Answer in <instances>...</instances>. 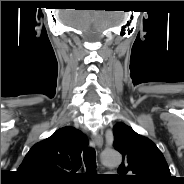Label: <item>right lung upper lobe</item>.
Here are the masks:
<instances>
[{
  "label": "right lung upper lobe",
  "mask_w": 184,
  "mask_h": 184,
  "mask_svg": "<svg viewBox=\"0 0 184 184\" xmlns=\"http://www.w3.org/2000/svg\"><path fill=\"white\" fill-rule=\"evenodd\" d=\"M87 144L80 130L63 127L35 144L17 171L30 182L69 183L81 167V153Z\"/></svg>",
  "instance_id": "obj_1"
}]
</instances>
